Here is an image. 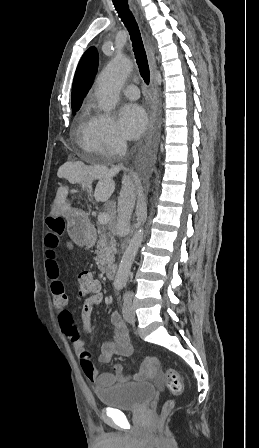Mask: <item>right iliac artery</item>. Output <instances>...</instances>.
<instances>
[{"instance_id": "1", "label": "right iliac artery", "mask_w": 259, "mask_h": 448, "mask_svg": "<svg viewBox=\"0 0 259 448\" xmlns=\"http://www.w3.org/2000/svg\"><path fill=\"white\" fill-rule=\"evenodd\" d=\"M121 287H122V285H121V284H116V285H115V288H116L117 290H120V289H121Z\"/></svg>"}]
</instances>
